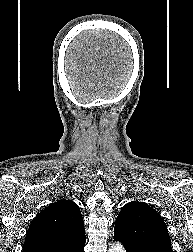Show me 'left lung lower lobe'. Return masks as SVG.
Listing matches in <instances>:
<instances>
[{
    "mask_svg": "<svg viewBox=\"0 0 193 252\" xmlns=\"http://www.w3.org/2000/svg\"><path fill=\"white\" fill-rule=\"evenodd\" d=\"M114 240L118 241L114 237ZM127 252H173L171 248L164 245H148L134 248H126Z\"/></svg>",
    "mask_w": 193,
    "mask_h": 252,
    "instance_id": "obj_1",
    "label": "left lung lower lobe"
}]
</instances>
